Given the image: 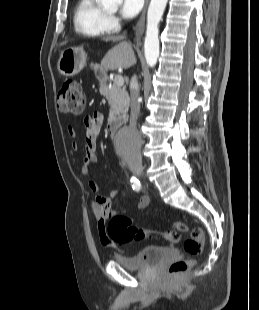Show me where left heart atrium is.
Returning a JSON list of instances; mask_svg holds the SVG:
<instances>
[{"mask_svg": "<svg viewBox=\"0 0 259 310\" xmlns=\"http://www.w3.org/2000/svg\"><path fill=\"white\" fill-rule=\"evenodd\" d=\"M144 0H122L120 13L126 19L134 18L142 9Z\"/></svg>", "mask_w": 259, "mask_h": 310, "instance_id": "obj_1", "label": "left heart atrium"}]
</instances>
